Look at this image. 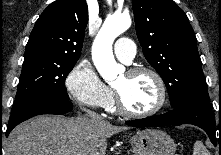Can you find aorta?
I'll list each match as a JSON object with an SVG mask.
<instances>
[{
  "label": "aorta",
  "instance_id": "obj_1",
  "mask_svg": "<svg viewBox=\"0 0 221 155\" xmlns=\"http://www.w3.org/2000/svg\"><path fill=\"white\" fill-rule=\"evenodd\" d=\"M131 26L129 15L108 17L98 32L92 45V59L98 72L105 81L117 78L121 66L116 63L112 45L114 40Z\"/></svg>",
  "mask_w": 221,
  "mask_h": 155
}]
</instances>
